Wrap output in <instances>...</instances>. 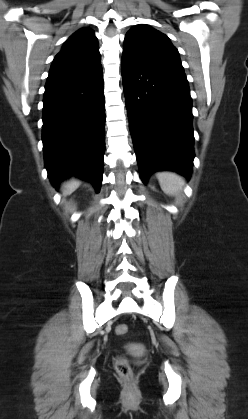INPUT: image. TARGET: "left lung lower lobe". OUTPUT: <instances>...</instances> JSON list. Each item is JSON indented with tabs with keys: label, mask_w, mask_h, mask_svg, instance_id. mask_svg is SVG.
Returning a JSON list of instances; mask_svg holds the SVG:
<instances>
[{
	"label": "left lung lower lobe",
	"mask_w": 248,
	"mask_h": 419,
	"mask_svg": "<svg viewBox=\"0 0 248 419\" xmlns=\"http://www.w3.org/2000/svg\"><path fill=\"white\" fill-rule=\"evenodd\" d=\"M122 80L140 177L172 170L187 178L193 166L192 99L186 76L122 56Z\"/></svg>",
	"instance_id": "left-lung-lower-lobe-1"
}]
</instances>
